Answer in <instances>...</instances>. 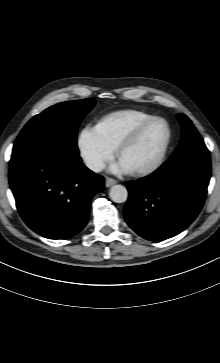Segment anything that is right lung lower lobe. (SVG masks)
<instances>
[{"mask_svg": "<svg viewBox=\"0 0 220 363\" xmlns=\"http://www.w3.org/2000/svg\"><path fill=\"white\" fill-rule=\"evenodd\" d=\"M10 187L25 223L49 239H65L81 231L92 197L104 178L86 168L79 156L48 146L10 160Z\"/></svg>", "mask_w": 220, "mask_h": 363, "instance_id": "right-lung-lower-lobe-1", "label": "right lung lower lobe"}]
</instances>
